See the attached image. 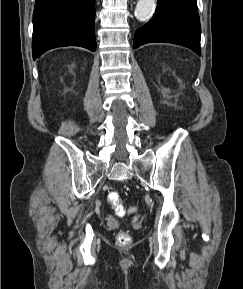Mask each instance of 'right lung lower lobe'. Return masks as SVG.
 I'll list each match as a JSON object with an SVG mask.
<instances>
[{"label": "right lung lower lobe", "instance_id": "98d812e1", "mask_svg": "<svg viewBox=\"0 0 243 289\" xmlns=\"http://www.w3.org/2000/svg\"><path fill=\"white\" fill-rule=\"evenodd\" d=\"M95 0H36L33 14V59L61 46L96 49Z\"/></svg>", "mask_w": 243, "mask_h": 289}]
</instances>
